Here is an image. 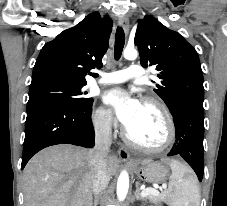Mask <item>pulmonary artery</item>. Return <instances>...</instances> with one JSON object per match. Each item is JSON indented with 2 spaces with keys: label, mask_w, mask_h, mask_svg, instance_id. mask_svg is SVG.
Returning a JSON list of instances; mask_svg holds the SVG:
<instances>
[{
  "label": "pulmonary artery",
  "mask_w": 227,
  "mask_h": 206,
  "mask_svg": "<svg viewBox=\"0 0 227 206\" xmlns=\"http://www.w3.org/2000/svg\"><path fill=\"white\" fill-rule=\"evenodd\" d=\"M144 75L143 69L139 65H130L126 69L112 71L106 73L97 83L100 84H116L123 83L130 79L141 78Z\"/></svg>",
  "instance_id": "pulmonary-artery-1"
}]
</instances>
